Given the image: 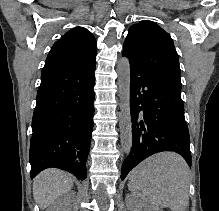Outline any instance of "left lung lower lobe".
Listing matches in <instances>:
<instances>
[{
  "label": "left lung lower lobe",
  "instance_id": "obj_1",
  "mask_svg": "<svg viewBox=\"0 0 219 211\" xmlns=\"http://www.w3.org/2000/svg\"><path fill=\"white\" fill-rule=\"evenodd\" d=\"M130 71L133 141L122 166L121 180L142 160L162 151L179 153L191 166L181 89L132 61Z\"/></svg>",
  "mask_w": 219,
  "mask_h": 211
}]
</instances>
